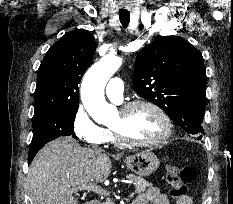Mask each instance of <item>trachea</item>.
Listing matches in <instances>:
<instances>
[{
    "label": "trachea",
    "instance_id": "trachea-1",
    "mask_svg": "<svg viewBox=\"0 0 233 204\" xmlns=\"http://www.w3.org/2000/svg\"><path fill=\"white\" fill-rule=\"evenodd\" d=\"M120 22L123 27H127L130 22V13L129 12H119Z\"/></svg>",
    "mask_w": 233,
    "mask_h": 204
}]
</instances>
